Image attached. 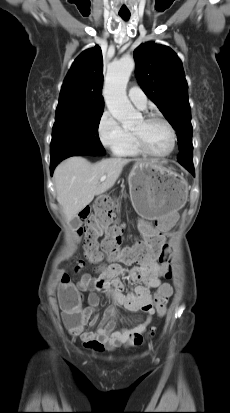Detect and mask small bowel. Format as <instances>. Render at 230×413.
Returning a JSON list of instances; mask_svg holds the SVG:
<instances>
[{
  "label": "small bowel",
  "mask_w": 230,
  "mask_h": 413,
  "mask_svg": "<svg viewBox=\"0 0 230 413\" xmlns=\"http://www.w3.org/2000/svg\"><path fill=\"white\" fill-rule=\"evenodd\" d=\"M179 221L178 214H171L158 218L157 222H154L153 218H140L139 226L146 238L157 234V231H172ZM117 260L109 259L113 263L108 265L98 278L94 279L85 274L76 285L62 283L59 288L60 301L70 292L79 295L80 321L76 324L73 314L66 309L63 318L69 333L74 337H80L84 346L92 351H110L121 345H132L134 338L142 336L146 331L157 310L155 297L162 295L168 299L172 295L171 285L161 282V277H165V273L158 272L160 265L156 260L140 263L130 269L116 263ZM125 275L133 281L141 282L129 294H124V285L120 279ZM151 289L156 290L154 299L150 294ZM87 290L91 292L87 298V306L83 307L80 293ZM94 290L105 292L113 304L105 310L100 321L97 314L99 297ZM119 306L132 313L143 312L145 317L132 319L121 316L117 311ZM117 322H122L125 326L116 329Z\"/></svg>",
  "instance_id": "obj_1"
}]
</instances>
